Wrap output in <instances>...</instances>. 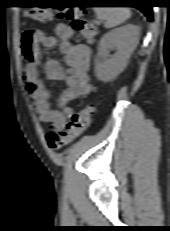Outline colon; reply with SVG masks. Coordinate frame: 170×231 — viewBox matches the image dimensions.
<instances>
[{
  "instance_id": "obj_1",
  "label": "colon",
  "mask_w": 170,
  "mask_h": 231,
  "mask_svg": "<svg viewBox=\"0 0 170 231\" xmlns=\"http://www.w3.org/2000/svg\"><path fill=\"white\" fill-rule=\"evenodd\" d=\"M27 16L39 22H48L53 18L66 19L71 22L72 28L77 31L86 41H93L97 35V27L93 21L86 19L85 11L78 8H66L53 14L50 10L33 8L27 12ZM95 111L94 104H88L82 110L75 113L65 130L60 132H49L46 135L48 145L55 150H59L75 139L80 137L88 129L93 120Z\"/></svg>"
}]
</instances>
